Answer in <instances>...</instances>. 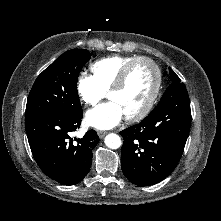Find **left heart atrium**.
Returning a JSON list of instances; mask_svg holds the SVG:
<instances>
[{
    "mask_svg": "<svg viewBox=\"0 0 221 221\" xmlns=\"http://www.w3.org/2000/svg\"><path fill=\"white\" fill-rule=\"evenodd\" d=\"M123 118V110L114 101L104 103L86 113V123L97 129L113 128Z\"/></svg>",
    "mask_w": 221,
    "mask_h": 221,
    "instance_id": "39dd6f15",
    "label": "left heart atrium"
}]
</instances>
